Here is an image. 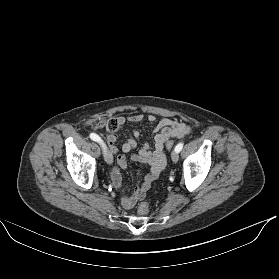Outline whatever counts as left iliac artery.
Returning a JSON list of instances; mask_svg holds the SVG:
<instances>
[{"mask_svg":"<svg viewBox=\"0 0 279 279\" xmlns=\"http://www.w3.org/2000/svg\"><path fill=\"white\" fill-rule=\"evenodd\" d=\"M182 148H183V143L180 142V143H178V144L176 145L175 151L180 152V151L182 150Z\"/></svg>","mask_w":279,"mask_h":279,"instance_id":"1","label":"left iliac artery"}]
</instances>
